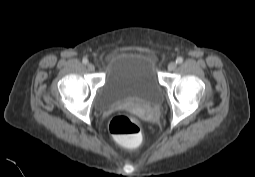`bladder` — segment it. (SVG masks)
<instances>
[{
  "mask_svg": "<svg viewBox=\"0 0 255 177\" xmlns=\"http://www.w3.org/2000/svg\"><path fill=\"white\" fill-rule=\"evenodd\" d=\"M156 60L149 51H125L116 54L107 66L106 75L95 98L98 111L135 101L158 105L163 87L156 74Z\"/></svg>",
  "mask_w": 255,
  "mask_h": 177,
  "instance_id": "1",
  "label": "bladder"
}]
</instances>
